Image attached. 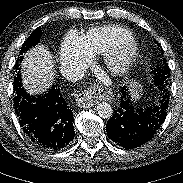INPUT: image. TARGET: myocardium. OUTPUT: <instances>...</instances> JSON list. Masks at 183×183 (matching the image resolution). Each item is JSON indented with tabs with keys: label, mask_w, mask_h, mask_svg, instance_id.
<instances>
[{
	"label": "myocardium",
	"mask_w": 183,
	"mask_h": 183,
	"mask_svg": "<svg viewBox=\"0 0 183 183\" xmlns=\"http://www.w3.org/2000/svg\"><path fill=\"white\" fill-rule=\"evenodd\" d=\"M138 50L137 43L131 40L108 53L104 60L106 72L112 76L125 74L135 61Z\"/></svg>",
	"instance_id": "myocardium-1"
}]
</instances>
